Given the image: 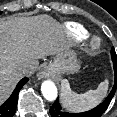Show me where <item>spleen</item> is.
<instances>
[{
    "mask_svg": "<svg viewBox=\"0 0 117 117\" xmlns=\"http://www.w3.org/2000/svg\"><path fill=\"white\" fill-rule=\"evenodd\" d=\"M61 88V103L69 112H84L96 105L106 96L108 91V79L101 82L95 90H89L83 94H77L70 88L69 81L64 79Z\"/></svg>",
    "mask_w": 117,
    "mask_h": 117,
    "instance_id": "spleen-1",
    "label": "spleen"
}]
</instances>
